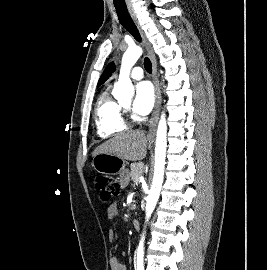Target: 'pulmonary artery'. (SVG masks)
Wrapping results in <instances>:
<instances>
[{"label": "pulmonary artery", "instance_id": "pulmonary-artery-1", "mask_svg": "<svg viewBox=\"0 0 267 270\" xmlns=\"http://www.w3.org/2000/svg\"><path fill=\"white\" fill-rule=\"evenodd\" d=\"M131 77L133 79H141L143 77V69L141 67H134L131 71Z\"/></svg>", "mask_w": 267, "mask_h": 270}]
</instances>
